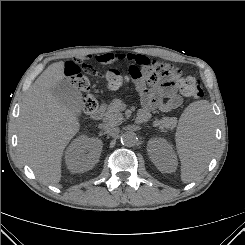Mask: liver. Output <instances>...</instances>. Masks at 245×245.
Here are the masks:
<instances>
[{
	"label": "liver",
	"instance_id": "6515ba94",
	"mask_svg": "<svg viewBox=\"0 0 245 245\" xmlns=\"http://www.w3.org/2000/svg\"><path fill=\"white\" fill-rule=\"evenodd\" d=\"M65 64H51L27 91L18 122L20 156L43 184L61 180L64 149L78 133L77 116L59 103L51 89L65 78Z\"/></svg>",
	"mask_w": 245,
	"mask_h": 245
}]
</instances>
